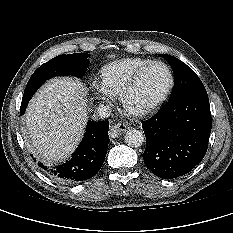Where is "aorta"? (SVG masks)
Masks as SVG:
<instances>
[{"label": "aorta", "mask_w": 233, "mask_h": 233, "mask_svg": "<svg viewBox=\"0 0 233 233\" xmlns=\"http://www.w3.org/2000/svg\"><path fill=\"white\" fill-rule=\"evenodd\" d=\"M124 139L128 146L140 147L144 143L145 137L142 131L131 129L126 132Z\"/></svg>", "instance_id": "aorta-1"}]
</instances>
